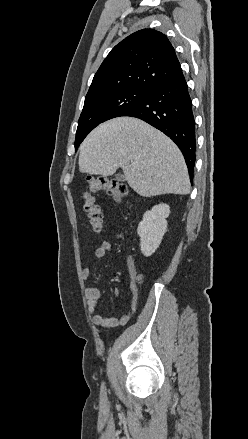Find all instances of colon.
Returning <instances> with one entry per match:
<instances>
[{
    "mask_svg": "<svg viewBox=\"0 0 248 439\" xmlns=\"http://www.w3.org/2000/svg\"><path fill=\"white\" fill-rule=\"evenodd\" d=\"M100 190L105 191L116 200H121L127 195V188L120 181L105 177L93 178L88 181V189L84 195V209L95 232H100L103 227L102 212L94 197V193Z\"/></svg>",
    "mask_w": 248,
    "mask_h": 439,
    "instance_id": "1",
    "label": "colon"
}]
</instances>
